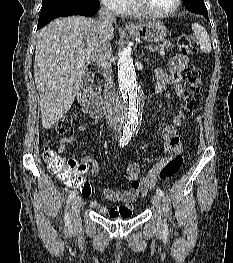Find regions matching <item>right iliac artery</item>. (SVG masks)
Instances as JSON below:
<instances>
[{
  "mask_svg": "<svg viewBox=\"0 0 233 263\" xmlns=\"http://www.w3.org/2000/svg\"><path fill=\"white\" fill-rule=\"evenodd\" d=\"M132 134L130 132H123V136L120 139V147H124L126 146L130 139H131ZM78 194V192L76 190L72 191L69 195L68 201H67V206H66V211H65V224L66 226L70 227L71 226V220L68 214V208H69V203L70 201Z\"/></svg>",
  "mask_w": 233,
  "mask_h": 263,
  "instance_id": "82829eb1",
  "label": "right iliac artery"
}]
</instances>
